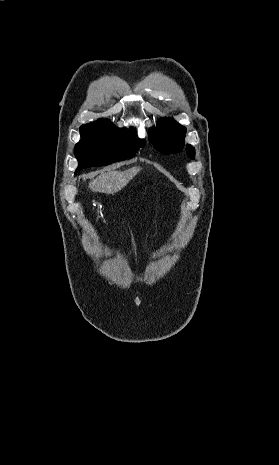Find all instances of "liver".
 I'll return each mask as SVG.
<instances>
[{
	"label": "liver",
	"instance_id": "6515ba94",
	"mask_svg": "<svg viewBox=\"0 0 279 465\" xmlns=\"http://www.w3.org/2000/svg\"><path fill=\"white\" fill-rule=\"evenodd\" d=\"M139 167H133L126 171H108L101 173L89 183V188L93 192L113 194L119 191L139 170Z\"/></svg>",
	"mask_w": 279,
	"mask_h": 465
}]
</instances>
